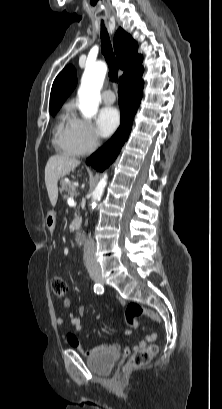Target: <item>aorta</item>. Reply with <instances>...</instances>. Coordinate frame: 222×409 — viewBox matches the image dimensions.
<instances>
[{"label":"aorta","instance_id":"aorta-1","mask_svg":"<svg viewBox=\"0 0 222 409\" xmlns=\"http://www.w3.org/2000/svg\"><path fill=\"white\" fill-rule=\"evenodd\" d=\"M107 72V66L103 62H97L93 65H87L81 79V86L78 91L79 109L85 118H91L96 115L100 102V90L103 86L104 78ZM107 184V175L98 182L92 192L91 206L94 208L101 199Z\"/></svg>","mask_w":222,"mask_h":409}]
</instances>
